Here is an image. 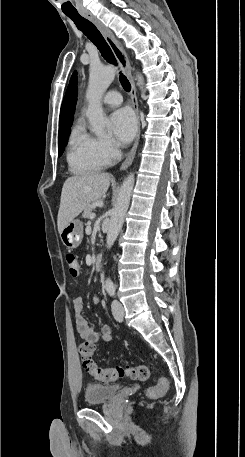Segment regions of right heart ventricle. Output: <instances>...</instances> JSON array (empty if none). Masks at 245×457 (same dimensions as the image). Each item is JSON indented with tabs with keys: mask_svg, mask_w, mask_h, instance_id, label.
Returning a JSON list of instances; mask_svg holds the SVG:
<instances>
[{
	"mask_svg": "<svg viewBox=\"0 0 245 457\" xmlns=\"http://www.w3.org/2000/svg\"><path fill=\"white\" fill-rule=\"evenodd\" d=\"M69 147L70 160L75 166L85 170H99L108 164L97 152L92 136L80 124L74 125L71 130Z\"/></svg>",
	"mask_w": 245,
	"mask_h": 457,
	"instance_id": "right-heart-ventricle-1",
	"label": "right heart ventricle"
}]
</instances>
